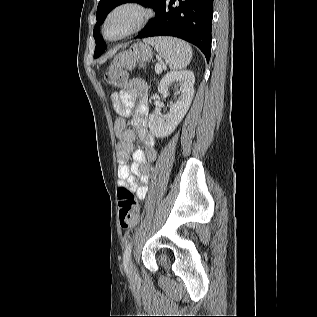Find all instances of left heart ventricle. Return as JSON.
Segmentation results:
<instances>
[{"instance_id": "b2bd125f", "label": "left heart ventricle", "mask_w": 317, "mask_h": 317, "mask_svg": "<svg viewBox=\"0 0 317 317\" xmlns=\"http://www.w3.org/2000/svg\"><path fill=\"white\" fill-rule=\"evenodd\" d=\"M136 13L131 10H123L117 13L108 23L106 33L109 37H115L127 30L134 22Z\"/></svg>"}]
</instances>
